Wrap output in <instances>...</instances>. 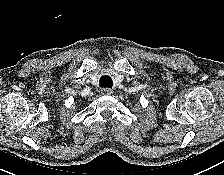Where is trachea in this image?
<instances>
[{"mask_svg":"<svg viewBox=\"0 0 224 175\" xmlns=\"http://www.w3.org/2000/svg\"><path fill=\"white\" fill-rule=\"evenodd\" d=\"M112 85H113V81L110 76L104 75L100 78V87L112 88Z\"/></svg>","mask_w":224,"mask_h":175,"instance_id":"obj_1","label":"trachea"}]
</instances>
